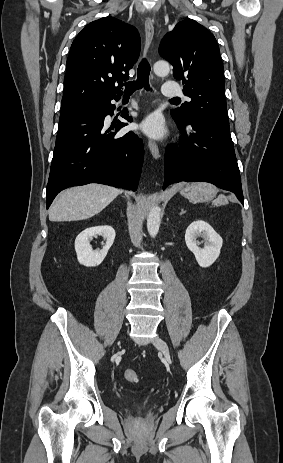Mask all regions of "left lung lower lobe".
<instances>
[{
	"instance_id": "1",
	"label": "left lung lower lobe",
	"mask_w": 283,
	"mask_h": 463,
	"mask_svg": "<svg viewBox=\"0 0 283 463\" xmlns=\"http://www.w3.org/2000/svg\"><path fill=\"white\" fill-rule=\"evenodd\" d=\"M172 116L184 136L179 147L166 150L163 188L180 181H205L234 192L244 204L230 130L207 121L180 122Z\"/></svg>"
}]
</instances>
